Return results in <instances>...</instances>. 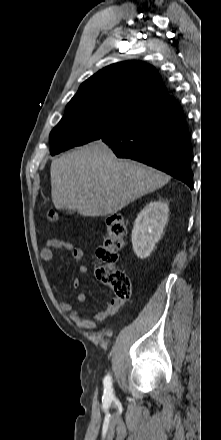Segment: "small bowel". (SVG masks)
I'll return each instance as SVG.
<instances>
[{
  "label": "small bowel",
  "mask_w": 221,
  "mask_h": 440,
  "mask_svg": "<svg viewBox=\"0 0 221 440\" xmlns=\"http://www.w3.org/2000/svg\"><path fill=\"white\" fill-rule=\"evenodd\" d=\"M53 249L69 251L74 260H81L83 258V251L80 248L74 247L70 242L60 239H49L46 241L45 247L40 250V257L46 263H51L54 259ZM89 271L86 265L79 267L81 274H87ZM82 285L81 278L77 277L73 281L74 288H80ZM77 302L84 304L86 302V294L78 293ZM124 303V299L112 297L106 303L104 310L95 312L92 318L83 317L77 310L73 308L71 303L63 301L60 303V309L64 312H69L71 318L82 328L87 330H94L97 327L96 322L103 321L109 316H113L119 313L121 306Z\"/></svg>",
  "instance_id": "small-bowel-1"
}]
</instances>
